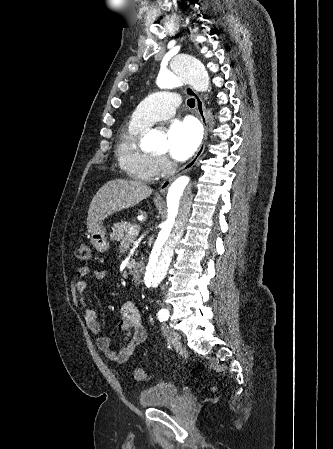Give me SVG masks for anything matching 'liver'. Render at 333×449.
<instances>
[{"label": "liver", "mask_w": 333, "mask_h": 449, "mask_svg": "<svg viewBox=\"0 0 333 449\" xmlns=\"http://www.w3.org/2000/svg\"><path fill=\"white\" fill-rule=\"evenodd\" d=\"M152 194V189L139 181L114 179L105 183L91 201L87 228L91 233L108 216L133 207Z\"/></svg>", "instance_id": "obj_1"}]
</instances>
